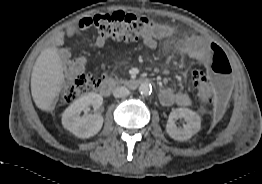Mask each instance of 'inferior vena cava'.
Here are the masks:
<instances>
[{"instance_id":"inferior-vena-cava-1","label":"inferior vena cava","mask_w":262,"mask_h":184,"mask_svg":"<svg viewBox=\"0 0 262 184\" xmlns=\"http://www.w3.org/2000/svg\"><path fill=\"white\" fill-rule=\"evenodd\" d=\"M130 91L128 90V88L124 87V86H119L117 88H115V90L113 91V95L115 98H121V97H125L127 95H129Z\"/></svg>"}]
</instances>
